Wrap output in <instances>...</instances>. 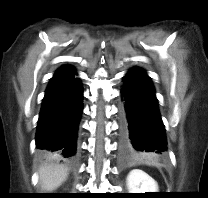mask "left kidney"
<instances>
[{
  "label": "left kidney",
  "instance_id": "1",
  "mask_svg": "<svg viewBox=\"0 0 208 198\" xmlns=\"http://www.w3.org/2000/svg\"><path fill=\"white\" fill-rule=\"evenodd\" d=\"M126 185L129 193L158 192L157 182L139 169L130 171Z\"/></svg>",
  "mask_w": 208,
  "mask_h": 198
}]
</instances>
